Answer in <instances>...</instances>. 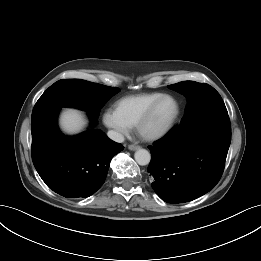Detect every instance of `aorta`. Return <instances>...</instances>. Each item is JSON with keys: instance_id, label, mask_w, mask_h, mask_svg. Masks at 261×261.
Returning a JSON list of instances; mask_svg holds the SVG:
<instances>
[{"instance_id": "obj_1", "label": "aorta", "mask_w": 261, "mask_h": 261, "mask_svg": "<svg viewBox=\"0 0 261 261\" xmlns=\"http://www.w3.org/2000/svg\"><path fill=\"white\" fill-rule=\"evenodd\" d=\"M134 158L139 165L144 166L149 164L151 155L146 149H139L135 152Z\"/></svg>"}]
</instances>
